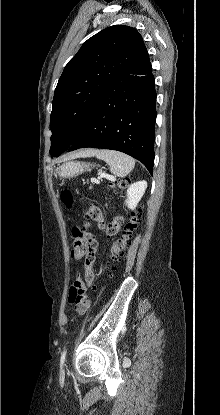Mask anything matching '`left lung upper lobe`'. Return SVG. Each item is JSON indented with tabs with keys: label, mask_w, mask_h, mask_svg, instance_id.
<instances>
[{
	"label": "left lung upper lobe",
	"mask_w": 220,
	"mask_h": 415,
	"mask_svg": "<svg viewBox=\"0 0 220 415\" xmlns=\"http://www.w3.org/2000/svg\"><path fill=\"white\" fill-rule=\"evenodd\" d=\"M149 62L141 35L129 26L108 27L84 42L65 66L54 92L50 152L59 156L67 150L111 84Z\"/></svg>",
	"instance_id": "1"
}]
</instances>
